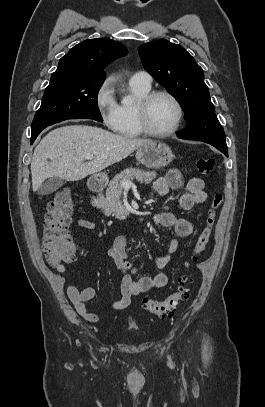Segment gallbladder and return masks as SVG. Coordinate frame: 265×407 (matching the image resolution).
I'll return each instance as SVG.
<instances>
[{"label":"gallbladder","mask_w":265,"mask_h":407,"mask_svg":"<svg viewBox=\"0 0 265 407\" xmlns=\"http://www.w3.org/2000/svg\"><path fill=\"white\" fill-rule=\"evenodd\" d=\"M64 184V180L59 177H52L46 180L38 189L39 195H49L57 191Z\"/></svg>","instance_id":"1"}]
</instances>
